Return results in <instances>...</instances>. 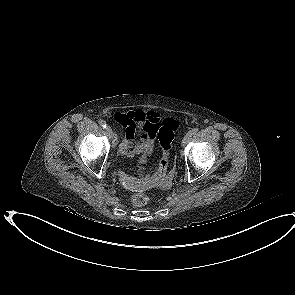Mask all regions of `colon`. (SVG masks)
Returning <instances> with one entry per match:
<instances>
[{
  "mask_svg": "<svg viewBox=\"0 0 295 295\" xmlns=\"http://www.w3.org/2000/svg\"><path fill=\"white\" fill-rule=\"evenodd\" d=\"M178 128V123L174 119H165L161 125L154 123L152 131L158 137L160 147L162 149V157L160 159L158 169L153 177H145V181L154 183L161 180L166 175L169 166V152L175 132ZM146 161V155L140 160L139 170ZM149 197L143 192H137L132 196V203L135 206H144L148 203Z\"/></svg>",
  "mask_w": 295,
  "mask_h": 295,
  "instance_id": "1",
  "label": "colon"
}]
</instances>
